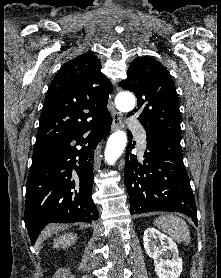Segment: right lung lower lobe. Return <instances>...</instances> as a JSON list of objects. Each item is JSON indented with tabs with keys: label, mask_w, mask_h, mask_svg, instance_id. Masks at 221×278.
I'll list each match as a JSON object with an SVG mask.
<instances>
[{
	"label": "right lung lower lobe",
	"mask_w": 221,
	"mask_h": 278,
	"mask_svg": "<svg viewBox=\"0 0 221 278\" xmlns=\"http://www.w3.org/2000/svg\"><path fill=\"white\" fill-rule=\"evenodd\" d=\"M111 115L34 149L24 221L32 245L47 223H91L99 217L91 192L94 150L111 130Z\"/></svg>",
	"instance_id": "98d812e1"
}]
</instances>
